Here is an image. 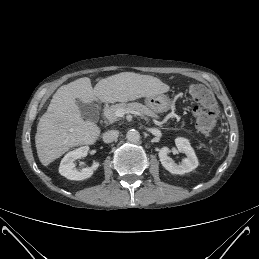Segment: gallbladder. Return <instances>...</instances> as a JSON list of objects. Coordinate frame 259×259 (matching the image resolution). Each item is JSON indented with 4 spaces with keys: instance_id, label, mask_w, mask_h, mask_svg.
I'll return each mask as SVG.
<instances>
[{
    "instance_id": "gallbladder-1",
    "label": "gallbladder",
    "mask_w": 259,
    "mask_h": 259,
    "mask_svg": "<svg viewBox=\"0 0 259 259\" xmlns=\"http://www.w3.org/2000/svg\"><path fill=\"white\" fill-rule=\"evenodd\" d=\"M83 118L90 121H95L98 116V107L94 102L84 103L81 100L77 99L76 102Z\"/></svg>"
}]
</instances>
